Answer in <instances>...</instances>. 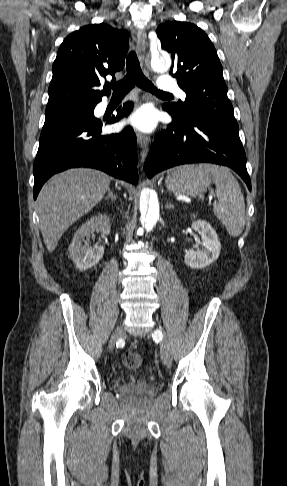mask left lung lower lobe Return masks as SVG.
Listing matches in <instances>:
<instances>
[{
    "label": "left lung lower lobe",
    "instance_id": "left-lung-lower-lobe-1",
    "mask_svg": "<svg viewBox=\"0 0 287 486\" xmlns=\"http://www.w3.org/2000/svg\"><path fill=\"white\" fill-rule=\"evenodd\" d=\"M203 162L232 168L251 190L239 130L203 119L182 122L173 117V122L152 145L144 169L148 178H151L173 166Z\"/></svg>",
    "mask_w": 287,
    "mask_h": 486
}]
</instances>
